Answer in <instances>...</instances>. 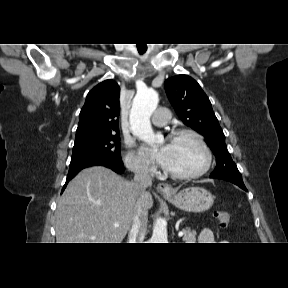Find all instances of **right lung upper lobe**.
Wrapping results in <instances>:
<instances>
[{"label":"right lung upper lobe","mask_w":288,"mask_h":288,"mask_svg":"<svg viewBox=\"0 0 288 288\" xmlns=\"http://www.w3.org/2000/svg\"><path fill=\"white\" fill-rule=\"evenodd\" d=\"M119 85L111 79L95 86L87 95L79 115L75 142L118 133Z\"/></svg>","instance_id":"1"}]
</instances>
